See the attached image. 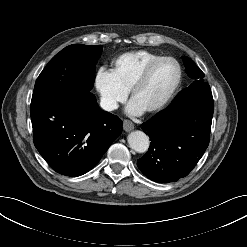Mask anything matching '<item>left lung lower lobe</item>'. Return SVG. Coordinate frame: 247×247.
Returning a JSON list of instances; mask_svg holds the SVG:
<instances>
[{"mask_svg": "<svg viewBox=\"0 0 247 247\" xmlns=\"http://www.w3.org/2000/svg\"><path fill=\"white\" fill-rule=\"evenodd\" d=\"M213 111L211 89L203 84L143 123L151 143L137 161L140 171L159 183L186 177L209 145Z\"/></svg>", "mask_w": 247, "mask_h": 247, "instance_id": "left-lung-lower-lobe-1", "label": "left lung lower lobe"}]
</instances>
